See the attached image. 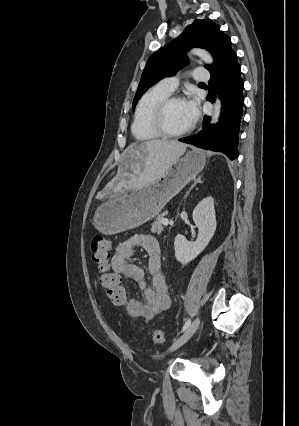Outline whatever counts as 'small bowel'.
<instances>
[{"instance_id":"obj_1","label":"small bowel","mask_w":299,"mask_h":426,"mask_svg":"<svg viewBox=\"0 0 299 426\" xmlns=\"http://www.w3.org/2000/svg\"><path fill=\"white\" fill-rule=\"evenodd\" d=\"M137 247H142L148 255L151 287L146 283L144 270L139 265L130 262ZM110 265L114 272L137 284L143 292L144 301L127 296L123 306L131 316L151 320L158 313L170 307L169 287L162 270L161 249L154 236L135 235L118 243L114 248Z\"/></svg>"}]
</instances>
